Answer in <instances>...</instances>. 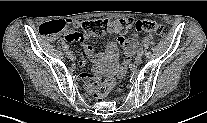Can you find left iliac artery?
<instances>
[{
	"label": "left iliac artery",
	"instance_id": "1",
	"mask_svg": "<svg viewBox=\"0 0 207 123\" xmlns=\"http://www.w3.org/2000/svg\"><path fill=\"white\" fill-rule=\"evenodd\" d=\"M138 54H140V55H143V54H144V51H143L142 48H139V49H138Z\"/></svg>",
	"mask_w": 207,
	"mask_h": 123
}]
</instances>
